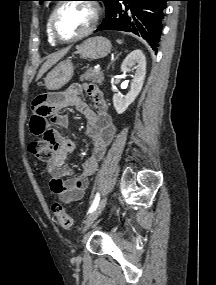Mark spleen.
I'll return each mask as SVG.
<instances>
[{"label":"spleen","mask_w":216,"mask_h":285,"mask_svg":"<svg viewBox=\"0 0 216 285\" xmlns=\"http://www.w3.org/2000/svg\"><path fill=\"white\" fill-rule=\"evenodd\" d=\"M117 42L121 44V43H122V40H117Z\"/></svg>","instance_id":"3e777b00"}]
</instances>
